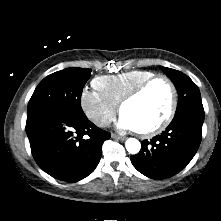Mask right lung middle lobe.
I'll use <instances>...</instances> for the list:
<instances>
[{
	"label": "right lung middle lobe",
	"instance_id": "obj_1",
	"mask_svg": "<svg viewBox=\"0 0 221 221\" xmlns=\"http://www.w3.org/2000/svg\"><path fill=\"white\" fill-rule=\"evenodd\" d=\"M90 73V69L73 67L45 77L29 100L27 117L55 110L82 113L81 94Z\"/></svg>",
	"mask_w": 221,
	"mask_h": 221
}]
</instances>
